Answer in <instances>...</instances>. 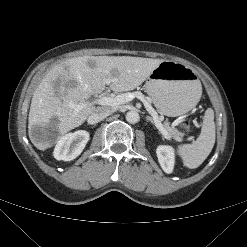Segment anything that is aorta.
<instances>
[{"label": "aorta", "instance_id": "1", "mask_svg": "<svg viewBox=\"0 0 247 247\" xmlns=\"http://www.w3.org/2000/svg\"><path fill=\"white\" fill-rule=\"evenodd\" d=\"M139 113L135 110H131L126 113V120L129 123H137L139 121Z\"/></svg>", "mask_w": 247, "mask_h": 247}]
</instances>
